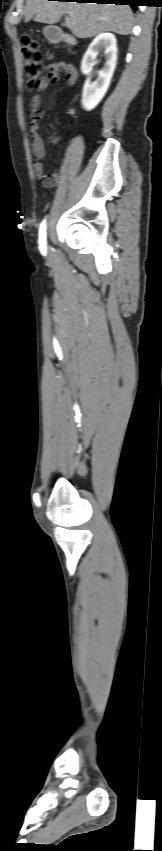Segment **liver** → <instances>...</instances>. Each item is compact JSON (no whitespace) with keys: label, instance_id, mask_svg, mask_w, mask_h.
<instances>
[{"label":"liver","instance_id":"liver-1","mask_svg":"<svg viewBox=\"0 0 162 851\" xmlns=\"http://www.w3.org/2000/svg\"><path fill=\"white\" fill-rule=\"evenodd\" d=\"M62 15H66L64 25L82 39L108 31L128 35L133 27V14L128 5L27 0L26 22L34 19L55 24Z\"/></svg>","mask_w":162,"mask_h":851}]
</instances>
